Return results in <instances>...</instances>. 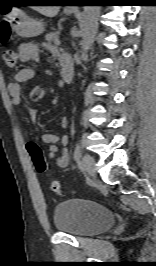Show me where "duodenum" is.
Listing matches in <instances>:
<instances>
[{"label": "duodenum", "instance_id": "410a0bca", "mask_svg": "<svg viewBox=\"0 0 156 266\" xmlns=\"http://www.w3.org/2000/svg\"><path fill=\"white\" fill-rule=\"evenodd\" d=\"M61 67H62L61 75H62L63 80L66 83L71 82L73 79V75H74V65L69 56L61 60Z\"/></svg>", "mask_w": 156, "mask_h": 266}]
</instances>
